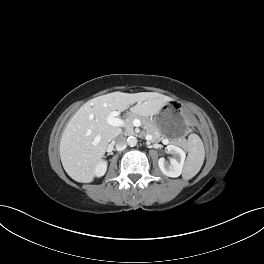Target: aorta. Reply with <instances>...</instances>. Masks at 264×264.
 I'll use <instances>...</instances> for the list:
<instances>
[{"label": "aorta", "mask_w": 264, "mask_h": 264, "mask_svg": "<svg viewBox=\"0 0 264 264\" xmlns=\"http://www.w3.org/2000/svg\"><path fill=\"white\" fill-rule=\"evenodd\" d=\"M137 138L134 137V136H129L128 139H127V144L130 146V147H134L136 146L137 144Z\"/></svg>", "instance_id": "aorta-1"}]
</instances>
